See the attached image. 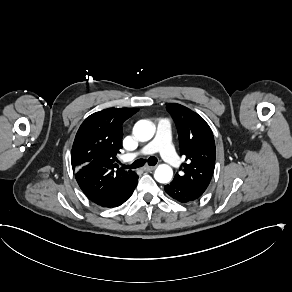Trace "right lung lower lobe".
Segmentation results:
<instances>
[{"label":"right lung lower lobe","instance_id":"right-lung-lower-lobe-1","mask_svg":"<svg viewBox=\"0 0 292 292\" xmlns=\"http://www.w3.org/2000/svg\"><path fill=\"white\" fill-rule=\"evenodd\" d=\"M138 183V176H136L125 188L124 190L115 198L99 204L101 207H107V208H112V207H117L124 203L128 198L132 195L134 189L136 188ZM98 205V204H97Z\"/></svg>","mask_w":292,"mask_h":292}]
</instances>
